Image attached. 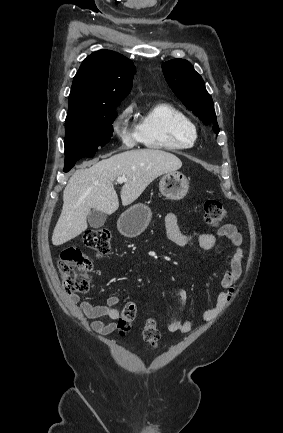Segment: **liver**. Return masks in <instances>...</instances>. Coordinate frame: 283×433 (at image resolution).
I'll list each match as a JSON object with an SVG mask.
<instances>
[{
    "label": "liver",
    "mask_w": 283,
    "mask_h": 433,
    "mask_svg": "<svg viewBox=\"0 0 283 433\" xmlns=\"http://www.w3.org/2000/svg\"><path fill=\"white\" fill-rule=\"evenodd\" d=\"M181 166L178 156L155 148H136L99 162H83L63 190V208L53 231V245H63L86 231V217L91 208L105 214L117 210L119 200L113 182L118 176L127 178L120 192L122 204L126 206L134 202L154 178L165 172H176Z\"/></svg>",
    "instance_id": "liver-1"
}]
</instances>
